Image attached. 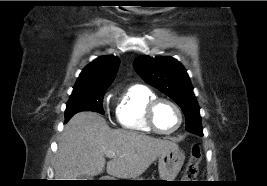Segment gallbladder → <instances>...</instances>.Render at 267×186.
I'll use <instances>...</instances> for the list:
<instances>
[{"instance_id":"obj_1","label":"gallbladder","mask_w":267,"mask_h":186,"mask_svg":"<svg viewBox=\"0 0 267 186\" xmlns=\"http://www.w3.org/2000/svg\"><path fill=\"white\" fill-rule=\"evenodd\" d=\"M90 177L89 176H82L81 178H80V180H87V179H89Z\"/></svg>"}]
</instances>
